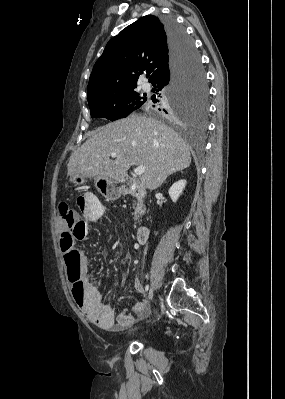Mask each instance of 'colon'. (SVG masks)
I'll use <instances>...</instances> for the list:
<instances>
[{"label": "colon", "mask_w": 285, "mask_h": 399, "mask_svg": "<svg viewBox=\"0 0 285 399\" xmlns=\"http://www.w3.org/2000/svg\"><path fill=\"white\" fill-rule=\"evenodd\" d=\"M103 195H107L106 192ZM86 196H78L74 206L68 202H62L58 206L59 221L61 223L60 244L64 259L73 265V270L69 272L68 278L72 287L75 289V297L84 293V284L80 280L79 271L76 267L79 254L76 243L83 237L80 231L77 209L84 208Z\"/></svg>", "instance_id": "obj_1"}]
</instances>
